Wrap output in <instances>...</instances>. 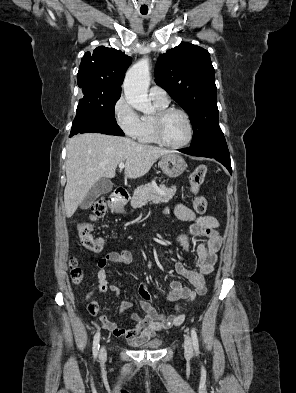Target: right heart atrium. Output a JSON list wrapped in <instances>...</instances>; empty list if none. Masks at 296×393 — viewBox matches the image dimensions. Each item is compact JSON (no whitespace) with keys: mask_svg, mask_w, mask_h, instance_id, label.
Returning a JSON list of instances; mask_svg holds the SVG:
<instances>
[{"mask_svg":"<svg viewBox=\"0 0 296 393\" xmlns=\"http://www.w3.org/2000/svg\"><path fill=\"white\" fill-rule=\"evenodd\" d=\"M115 120L122 131L130 138L137 139L141 119L125 96L119 97L113 107Z\"/></svg>","mask_w":296,"mask_h":393,"instance_id":"d8ad5b80","label":"right heart atrium"}]
</instances>
